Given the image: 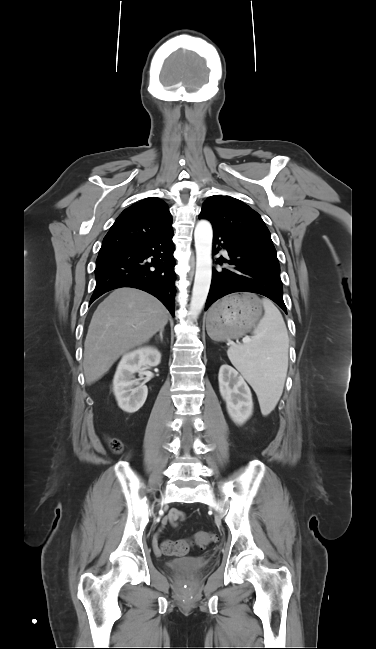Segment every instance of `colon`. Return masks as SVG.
I'll use <instances>...</instances> for the list:
<instances>
[{
    "label": "colon",
    "instance_id": "5ec220e1",
    "mask_svg": "<svg viewBox=\"0 0 376 649\" xmlns=\"http://www.w3.org/2000/svg\"><path fill=\"white\" fill-rule=\"evenodd\" d=\"M108 444L114 453H120L123 449L122 442L117 438H109ZM212 538V534L207 531H199L194 536L196 544L200 547L207 546L212 541ZM162 549L167 554L182 555L187 551L188 545L186 542L181 540H167L163 542Z\"/></svg>",
    "mask_w": 376,
    "mask_h": 649
}]
</instances>
